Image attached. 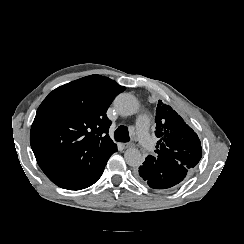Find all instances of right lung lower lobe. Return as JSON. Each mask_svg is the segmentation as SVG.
I'll return each instance as SVG.
<instances>
[{"label":"right lung lower lobe","instance_id":"1","mask_svg":"<svg viewBox=\"0 0 244 244\" xmlns=\"http://www.w3.org/2000/svg\"><path fill=\"white\" fill-rule=\"evenodd\" d=\"M116 151L117 146L97 157L85 158L74 166L49 176V179L64 189L80 190L87 188L100 178L109 157Z\"/></svg>","mask_w":244,"mask_h":244}]
</instances>
